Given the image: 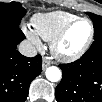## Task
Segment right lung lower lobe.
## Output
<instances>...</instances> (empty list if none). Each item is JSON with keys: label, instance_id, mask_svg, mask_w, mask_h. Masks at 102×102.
<instances>
[{"label": "right lung lower lobe", "instance_id": "obj_1", "mask_svg": "<svg viewBox=\"0 0 102 102\" xmlns=\"http://www.w3.org/2000/svg\"><path fill=\"white\" fill-rule=\"evenodd\" d=\"M25 39L18 25L0 24V101L24 102L31 81L42 72V57L28 58L16 50Z\"/></svg>", "mask_w": 102, "mask_h": 102}]
</instances>
